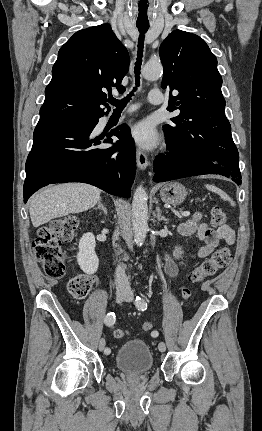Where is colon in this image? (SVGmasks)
<instances>
[{
	"mask_svg": "<svg viewBox=\"0 0 262 431\" xmlns=\"http://www.w3.org/2000/svg\"><path fill=\"white\" fill-rule=\"evenodd\" d=\"M229 222L228 214L220 208L212 211V224L214 226H225ZM78 222L73 217L60 218L53 223L39 229L33 242V250L36 259L41 263L46 275L53 279H61L66 273L65 253L62 243L70 241L76 230ZM231 260V252L227 247H220L213 254L202 261L189 274L188 280L191 284H199L205 278L214 275L217 270L224 268ZM91 288V279L86 275H76L69 282V290L76 301L86 297ZM191 290L183 288L182 296L188 299ZM153 324L149 321L142 326L144 332H149ZM117 339L124 337L122 330H115Z\"/></svg>",
	"mask_w": 262,
	"mask_h": 431,
	"instance_id": "5ec220e1",
	"label": "colon"
}]
</instances>
